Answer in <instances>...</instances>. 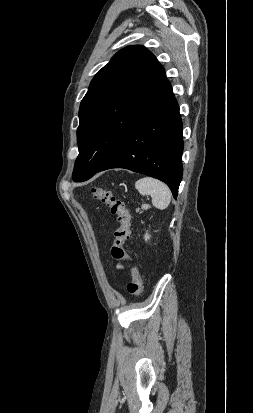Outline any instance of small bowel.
<instances>
[{
    "label": "small bowel",
    "instance_id": "1",
    "mask_svg": "<svg viewBox=\"0 0 253 413\" xmlns=\"http://www.w3.org/2000/svg\"><path fill=\"white\" fill-rule=\"evenodd\" d=\"M117 267H118L119 269H123V268H124V266L121 265V264H118Z\"/></svg>",
    "mask_w": 253,
    "mask_h": 413
}]
</instances>
